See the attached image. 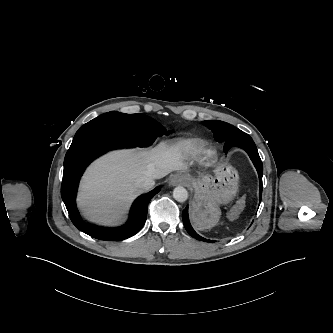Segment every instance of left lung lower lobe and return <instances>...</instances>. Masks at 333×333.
<instances>
[{
  "label": "left lung lower lobe",
  "instance_id": "0a47b994",
  "mask_svg": "<svg viewBox=\"0 0 333 333\" xmlns=\"http://www.w3.org/2000/svg\"><path fill=\"white\" fill-rule=\"evenodd\" d=\"M232 146H236V147H240L243 148L248 155L250 156L254 166L257 169L258 175H259V180H260V192H259V197H260V201H261V195H262V174H263V165H262V161L259 157L257 148L255 143L253 142L252 138L242 132L241 130L236 133L234 136H232L230 138V140L226 141L224 144V151L225 153H227L228 149ZM182 219H183V224L185 226V229L187 230V232L195 239L197 240H201V241H205V242H214L211 240H207L203 237H201L200 235H198L194 229L192 228L190 222H189V218H188V207H186L183 212H182Z\"/></svg>",
  "mask_w": 333,
  "mask_h": 333
}]
</instances>
